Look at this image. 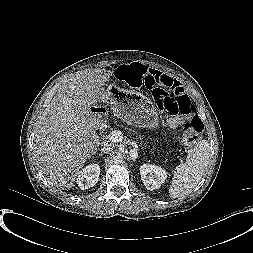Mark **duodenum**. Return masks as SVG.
Listing matches in <instances>:
<instances>
[{
    "label": "duodenum",
    "mask_w": 253,
    "mask_h": 253,
    "mask_svg": "<svg viewBox=\"0 0 253 253\" xmlns=\"http://www.w3.org/2000/svg\"><path fill=\"white\" fill-rule=\"evenodd\" d=\"M91 111L93 114L94 123L97 126H102L105 121L106 111L101 107H93Z\"/></svg>",
    "instance_id": "410a0bca"
}]
</instances>
